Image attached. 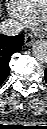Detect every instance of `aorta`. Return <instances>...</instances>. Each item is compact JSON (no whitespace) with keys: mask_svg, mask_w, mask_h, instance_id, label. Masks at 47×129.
<instances>
[{"mask_svg":"<svg viewBox=\"0 0 47 129\" xmlns=\"http://www.w3.org/2000/svg\"><path fill=\"white\" fill-rule=\"evenodd\" d=\"M33 56L40 62L47 61V41L37 40L32 46Z\"/></svg>","mask_w":47,"mask_h":129,"instance_id":"1","label":"aorta"}]
</instances>
